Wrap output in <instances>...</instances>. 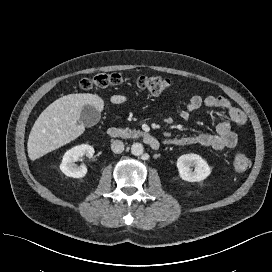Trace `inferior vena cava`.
<instances>
[{
    "label": "inferior vena cava",
    "instance_id": "1",
    "mask_svg": "<svg viewBox=\"0 0 272 272\" xmlns=\"http://www.w3.org/2000/svg\"><path fill=\"white\" fill-rule=\"evenodd\" d=\"M111 150L117 154L122 153L124 151V143L120 140L112 141Z\"/></svg>",
    "mask_w": 272,
    "mask_h": 272
}]
</instances>
